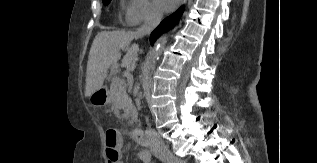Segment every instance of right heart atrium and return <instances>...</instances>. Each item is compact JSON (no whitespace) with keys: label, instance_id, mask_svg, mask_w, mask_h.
Returning <instances> with one entry per match:
<instances>
[{"label":"right heart atrium","instance_id":"d8ad5b80","mask_svg":"<svg viewBox=\"0 0 317 163\" xmlns=\"http://www.w3.org/2000/svg\"><path fill=\"white\" fill-rule=\"evenodd\" d=\"M122 11L127 25L136 26L160 18V12L151 0H123Z\"/></svg>","mask_w":317,"mask_h":163}]
</instances>
